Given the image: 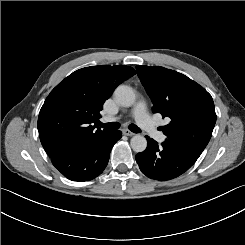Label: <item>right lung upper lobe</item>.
<instances>
[{
  "label": "right lung upper lobe",
  "mask_w": 245,
  "mask_h": 245,
  "mask_svg": "<svg viewBox=\"0 0 245 245\" xmlns=\"http://www.w3.org/2000/svg\"><path fill=\"white\" fill-rule=\"evenodd\" d=\"M136 74L126 65L79 69L60 82L46 98L38 117L42 146L49 157L61 148L100 135L103 103L114 89Z\"/></svg>",
  "instance_id": "right-lung-upper-lobe-1"
}]
</instances>
